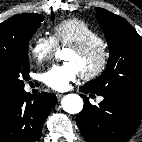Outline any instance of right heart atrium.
<instances>
[{
    "label": "right heart atrium",
    "mask_w": 142,
    "mask_h": 142,
    "mask_svg": "<svg viewBox=\"0 0 142 142\" xmlns=\"http://www.w3.org/2000/svg\"><path fill=\"white\" fill-rule=\"evenodd\" d=\"M55 49L56 42L52 36L38 34L33 38L29 52L37 63H43L53 57Z\"/></svg>",
    "instance_id": "d8ad5b80"
}]
</instances>
